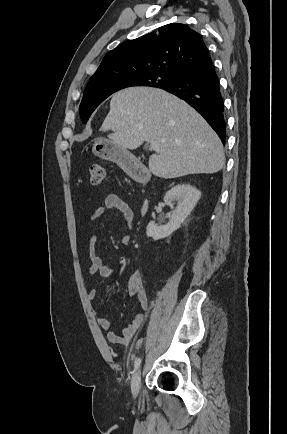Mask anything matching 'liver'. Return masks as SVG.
<instances>
[{"label": "liver", "instance_id": "liver-1", "mask_svg": "<svg viewBox=\"0 0 287 434\" xmlns=\"http://www.w3.org/2000/svg\"><path fill=\"white\" fill-rule=\"evenodd\" d=\"M100 130H111L109 138L124 149L158 143L160 151L149 157V169L160 178L213 174L225 165L223 145L203 117L161 89L132 87L115 93Z\"/></svg>", "mask_w": 287, "mask_h": 434}]
</instances>
